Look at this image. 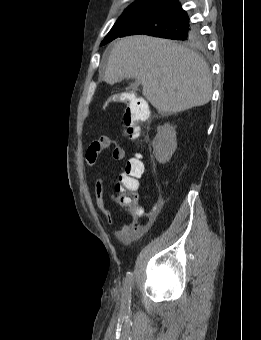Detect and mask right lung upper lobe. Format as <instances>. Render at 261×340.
I'll list each match as a JSON object with an SVG mask.
<instances>
[{
    "mask_svg": "<svg viewBox=\"0 0 261 340\" xmlns=\"http://www.w3.org/2000/svg\"><path fill=\"white\" fill-rule=\"evenodd\" d=\"M162 0H136L134 3H139V2H154V3H160Z\"/></svg>",
    "mask_w": 261,
    "mask_h": 340,
    "instance_id": "obj_1",
    "label": "right lung upper lobe"
}]
</instances>
